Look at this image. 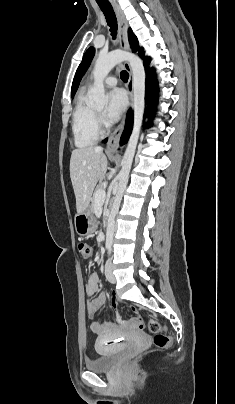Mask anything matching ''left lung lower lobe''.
Here are the masks:
<instances>
[{
    "instance_id": "obj_1",
    "label": "left lung lower lobe",
    "mask_w": 235,
    "mask_h": 404,
    "mask_svg": "<svg viewBox=\"0 0 235 404\" xmlns=\"http://www.w3.org/2000/svg\"><path fill=\"white\" fill-rule=\"evenodd\" d=\"M144 60V66L146 68L147 72V80H146V102L149 104V108L146 110V116H149V119L151 120L153 113L155 111V102L157 98V81L155 80V75L153 69L149 68V63H150V58L148 57H143ZM151 77V79H149ZM150 123V122H149ZM132 130V111L130 110L127 116L126 120V125L124 132L121 136V144L123 145L124 143L127 142L129 135ZM107 139L105 140V142Z\"/></svg>"
}]
</instances>
